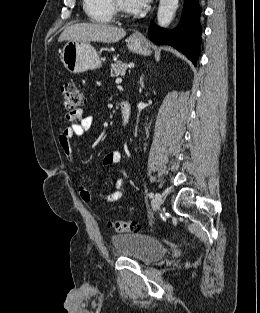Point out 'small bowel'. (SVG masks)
Masks as SVG:
<instances>
[{
  "instance_id": "small-bowel-1",
  "label": "small bowel",
  "mask_w": 260,
  "mask_h": 313,
  "mask_svg": "<svg viewBox=\"0 0 260 313\" xmlns=\"http://www.w3.org/2000/svg\"><path fill=\"white\" fill-rule=\"evenodd\" d=\"M66 121L71 124L65 127L58 134L57 141L60 149L66 154L68 161L74 165L75 160L71 150V140L74 137L84 136L94 125L93 116H84L83 111L78 109L73 112H67ZM122 161V153L119 150L107 153L103 158L104 165H118ZM127 186V174L121 171L115 180V186L110 193H96L99 197L107 202H115L123 197ZM78 193L84 202H91L93 198L92 192L84 185H79Z\"/></svg>"
}]
</instances>
